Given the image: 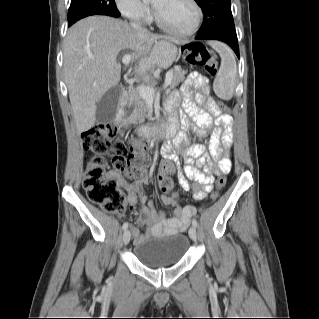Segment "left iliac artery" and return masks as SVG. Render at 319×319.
Listing matches in <instances>:
<instances>
[{"label": "left iliac artery", "instance_id": "44dca946", "mask_svg": "<svg viewBox=\"0 0 319 319\" xmlns=\"http://www.w3.org/2000/svg\"><path fill=\"white\" fill-rule=\"evenodd\" d=\"M192 224H193V226H194L195 228H196L197 225H198V223H197V221H196L195 219H193Z\"/></svg>", "mask_w": 319, "mask_h": 319}]
</instances>
